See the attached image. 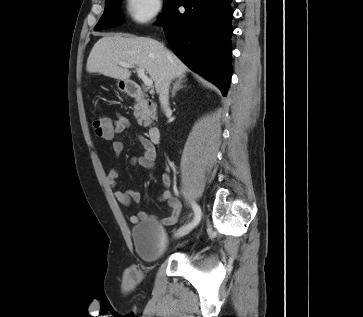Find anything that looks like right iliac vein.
Here are the masks:
<instances>
[{
  "instance_id": "63e3f726",
  "label": "right iliac vein",
  "mask_w": 363,
  "mask_h": 317,
  "mask_svg": "<svg viewBox=\"0 0 363 317\" xmlns=\"http://www.w3.org/2000/svg\"><path fill=\"white\" fill-rule=\"evenodd\" d=\"M191 228H188L186 226L181 227L178 231L175 232L174 237L175 238H181L188 234L190 232Z\"/></svg>"
}]
</instances>
